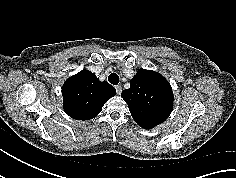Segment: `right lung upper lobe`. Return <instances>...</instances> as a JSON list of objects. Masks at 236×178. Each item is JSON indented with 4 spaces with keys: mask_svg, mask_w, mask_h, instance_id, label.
<instances>
[{
    "mask_svg": "<svg viewBox=\"0 0 236 178\" xmlns=\"http://www.w3.org/2000/svg\"><path fill=\"white\" fill-rule=\"evenodd\" d=\"M116 90L107 82H101L88 70L71 76L62 87L65 112L76 120H90L102 110Z\"/></svg>",
    "mask_w": 236,
    "mask_h": 178,
    "instance_id": "obj_1",
    "label": "right lung upper lobe"
}]
</instances>
